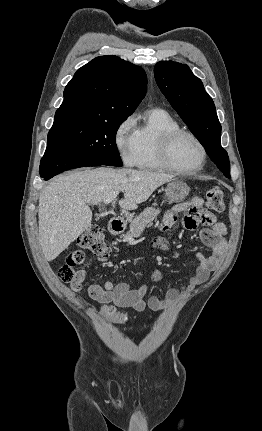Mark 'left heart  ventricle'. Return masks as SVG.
<instances>
[{
    "mask_svg": "<svg viewBox=\"0 0 262 431\" xmlns=\"http://www.w3.org/2000/svg\"><path fill=\"white\" fill-rule=\"evenodd\" d=\"M199 146L188 136L178 137L172 145L173 161L182 169L191 171L201 163Z\"/></svg>",
    "mask_w": 262,
    "mask_h": 431,
    "instance_id": "left-heart-ventricle-1",
    "label": "left heart ventricle"
}]
</instances>
